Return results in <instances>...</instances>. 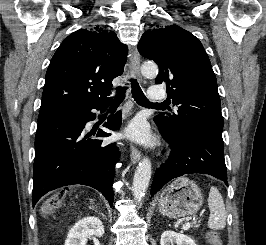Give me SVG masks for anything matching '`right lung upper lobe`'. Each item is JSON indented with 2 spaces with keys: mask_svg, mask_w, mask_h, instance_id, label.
Instances as JSON below:
<instances>
[{
  "mask_svg": "<svg viewBox=\"0 0 266 245\" xmlns=\"http://www.w3.org/2000/svg\"><path fill=\"white\" fill-rule=\"evenodd\" d=\"M127 47L113 31L79 29L55 52L48 67L38 121L62 111L104 101L123 73Z\"/></svg>",
  "mask_w": 266,
  "mask_h": 245,
  "instance_id": "1",
  "label": "right lung upper lobe"
}]
</instances>
